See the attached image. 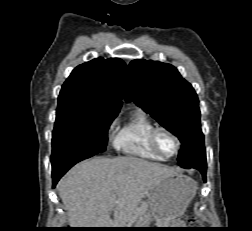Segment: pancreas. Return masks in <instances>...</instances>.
I'll return each mask as SVG.
<instances>
[{
	"label": "pancreas",
	"mask_w": 252,
	"mask_h": 231,
	"mask_svg": "<svg viewBox=\"0 0 252 231\" xmlns=\"http://www.w3.org/2000/svg\"><path fill=\"white\" fill-rule=\"evenodd\" d=\"M143 220L145 221L146 224H147L148 221H149L147 218H144Z\"/></svg>",
	"instance_id": "1"
}]
</instances>
